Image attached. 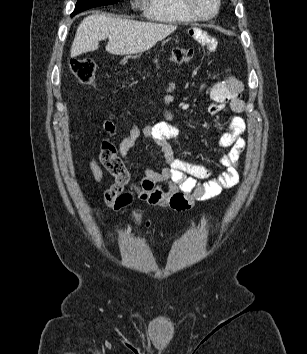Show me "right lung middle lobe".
Instances as JSON below:
<instances>
[{
	"label": "right lung middle lobe",
	"mask_w": 307,
	"mask_h": 354,
	"mask_svg": "<svg viewBox=\"0 0 307 354\" xmlns=\"http://www.w3.org/2000/svg\"><path fill=\"white\" fill-rule=\"evenodd\" d=\"M118 1L119 0H78L75 6V10L71 16H74L75 14L89 8L114 4Z\"/></svg>",
	"instance_id": "obj_1"
}]
</instances>
